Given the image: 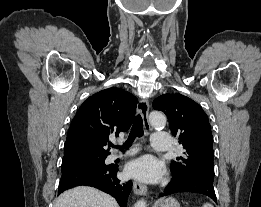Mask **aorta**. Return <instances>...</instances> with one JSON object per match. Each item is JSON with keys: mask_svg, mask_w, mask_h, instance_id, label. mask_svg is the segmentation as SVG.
Listing matches in <instances>:
<instances>
[{"mask_svg": "<svg viewBox=\"0 0 261 207\" xmlns=\"http://www.w3.org/2000/svg\"><path fill=\"white\" fill-rule=\"evenodd\" d=\"M150 124L155 128H164L166 125V117L163 113L153 111L149 115ZM134 207H147L145 200H139L135 203Z\"/></svg>", "mask_w": 261, "mask_h": 207, "instance_id": "1", "label": "aorta"}]
</instances>
